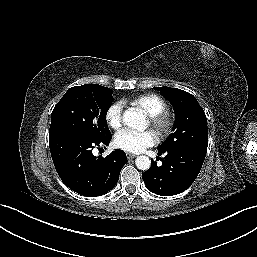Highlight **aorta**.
<instances>
[{
    "label": "aorta",
    "mask_w": 257,
    "mask_h": 257,
    "mask_svg": "<svg viewBox=\"0 0 257 257\" xmlns=\"http://www.w3.org/2000/svg\"><path fill=\"white\" fill-rule=\"evenodd\" d=\"M123 122L128 127L137 130H144L147 126L145 116L142 114V112L133 108H130L124 112ZM135 164L139 170L146 171L151 166V160L149 157L141 155L136 158Z\"/></svg>",
    "instance_id": "aorta-1"
}]
</instances>
